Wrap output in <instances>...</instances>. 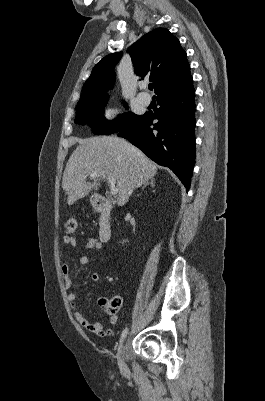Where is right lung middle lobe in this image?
<instances>
[{"label":"right lung middle lobe","instance_id":"dd1d6c3e","mask_svg":"<svg viewBox=\"0 0 265 401\" xmlns=\"http://www.w3.org/2000/svg\"><path fill=\"white\" fill-rule=\"evenodd\" d=\"M108 99V95H100L78 104L76 107L77 115L75 123L81 125L87 124L91 127L94 134L109 135L126 129L143 118V115L128 112L119 115L113 121L106 120L103 113Z\"/></svg>","mask_w":265,"mask_h":401}]
</instances>
